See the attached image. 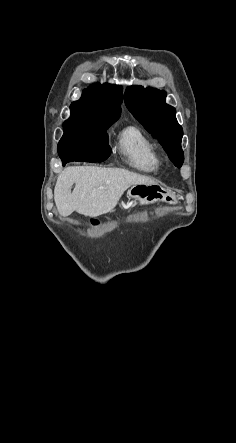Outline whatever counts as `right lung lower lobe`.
Returning a JSON list of instances; mask_svg holds the SVG:
<instances>
[{"label": "right lung lower lobe", "mask_w": 236, "mask_h": 443, "mask_svg": "<svg viewBox=\"0 0 236 443\" xmlns=\"http://www.w3.org/2000/svg\"><path fill=\"white\" fill-rule=\"evenodd\" d=\"M58 153L65 165L70 161L102 162L110 156L111 149L94 145L67 146L60 149Z\"/></svg>", "instance_id": "98d812e1"}]
</instances>
